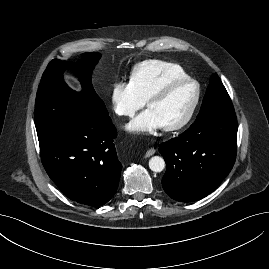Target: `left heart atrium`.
Listing matches in <instances>:
<instances>
[{"instance_id":"1","label":"left heart atrium","mask_w":269,"mask_h":269,"mask_svg":"<svg viewBox=\"0 0 269 269\" xmlns=\"http://www.w3.org/2000/svg\"><path fill=\"white\" fill-rule=\"evenodd\" d=\"M161 128H163L162 122L149 109L140 113L127 125L129 131L138 134H152Z\"/></svg>"}]
</instances>
